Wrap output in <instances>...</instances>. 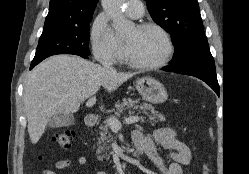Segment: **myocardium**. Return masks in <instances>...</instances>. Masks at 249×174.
Instances as JSON below:
<instances>
[{"mask_svg":"<svg viewBox=\"0 0 249 174\" xmlns=\"http://www.w3.org/2000/svg\"><path fill=\"white\" fill-rule=\"evenodd\" d=\"M136 29L138 31H145L148 29H154L156 31H158L159 33L162 34V36L165 38L167 45H168V52L166 54V56L158 61V62H153V63H140V62H135L133 60H130L128 58H126L124 61L126 64H128L129 66L133 67V68H137V69H145V70H149V69H158L161 67H164L165 65H167L173 58L174 54H175V45L174 42L172 40L171 35L168 33V31L163 28L162 26H160L159 24L153 23V22H143L140 23L136 26Z\"/></svg>","mask_w":249,"mask_h":174,"instance_id":"myocardium-1","label":"myocardium"}]
</instances>
